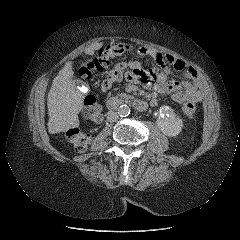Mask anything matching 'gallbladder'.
Here are the masks:
<instances>
[{
    "label": "gallbladder",
    "instance_id": "1",
    "mask_svg": "<svg viewBox=\"0 0 240 240\" xmlns=\"http://www.w3.org/2000/svg\"><path fill=\"white\" fill-rule=\"evenodd\" d=\"M73 82L75 83L76 86L83 85V82L81 80H78V79L73 80Z\"/></svg>",
    "mask_w": 240,
    "mask_h": 240
}]
</instances>
